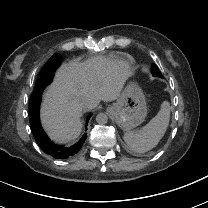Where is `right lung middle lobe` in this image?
<instances>
[{
	"label": "right lung middle lobe",
	"instance_id": "obj_1",
	"mask_svg": "<svg viewBox=\"0 0 208 208\" xmlns=\"http://www.w3.org/2000/svg\"><path fill=\"white\" fill-rule=\"evenodd\" d=\"M59 56H60L59 54H55V55H53L52 57H59ZM38 80H39V76H38V79H37L35 88L38 87ZM35 88H34V89H35Z\"/></svg>",
	"mask_w": 208,
	"mask_h": 208
}]
</instances>
